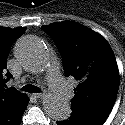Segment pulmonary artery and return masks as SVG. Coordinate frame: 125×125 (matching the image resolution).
Instances as JSON below:
<instances>
[{"label":"pulmonary artery","mask_w":125,"mask_h":125,"mask_svg":"<svg viewBox=\"0 0 125 125\" xmlns=\"http://www.w3.org/2000/svg\"><path fill=\"white\" fill-rule=\"evenodd\" d=\"M47 80L51 89L63 99H67L72 96V89L60 75L58 65L56 63L51 64Z\"/></svg>","instance_id":"e3ab8cb5"}]
</instances>
